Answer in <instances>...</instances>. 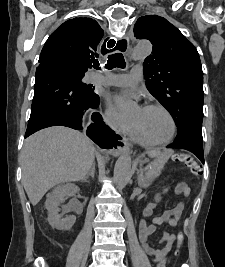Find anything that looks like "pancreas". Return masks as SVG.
<instances>
[{
    "label": "pancreas",
    "mask_w": 225,
    "mask_h": 267,
    "mask_svg": "<svg viewBox=\"0 0 225 267\" xmlns=\"http://www.w3.org/2000/svg\"><path fill=\"white\" fill-rule=\"evenodd\" d=\"M166 160L157 159L154 162L150 163V167L146 169L144 176V184L147 186L155 180L160 174Z\"/></svg>",
    "instance_id": "cf45deb5"
}]
</instances>
